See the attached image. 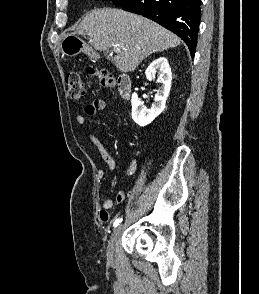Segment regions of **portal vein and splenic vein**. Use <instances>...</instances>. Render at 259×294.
Returning <instances> with one entry per match:
<instances>
[{
  "mask_svg": "<svg viewBox=\"0 0 259 294\" xmlns=\"http://www.w3.org/2000/svg\"><path fill=\"white\" fill-rule=\"evenodd\" d=\"M121 49H122V47H121L120 45H115V46H114V51H115L116 53L121 52Z\"/></svg>",
  "mask_w": 259,
  "mask_h": 294,
  "instance_id": "obj_1",
  "label": "portal vein and splenic vein"
}]
</instances>
